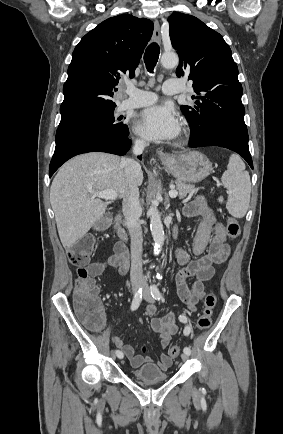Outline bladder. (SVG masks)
<instances>
[{"label":"bladder","instance_id":"obj_1","mask_svg":"<svg viewBox=\"0 0 283 434\" xmlns=\"http://www.w3.org/2000/svg\"><path fill=\"white\" fill-rule=\"evenodd\" d=\"M134 379L142 382H159L166 381L169 378L168 373L162 371L154 364H146L132 371Z\"/></svg>","mask_w":283,"mask_h":434}]
</instances>
